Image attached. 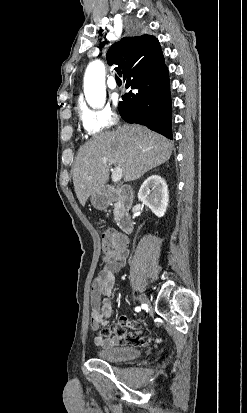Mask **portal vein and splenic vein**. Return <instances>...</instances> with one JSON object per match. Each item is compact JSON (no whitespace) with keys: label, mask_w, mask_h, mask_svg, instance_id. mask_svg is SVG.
Here are the masks:
<instances>
[{"label":"portal vein and splenic vein","mask_w":247,"mask_h":413,"mask_svg":"<svg viewBox=\"0 0 247 413\" xmlns=\"http://www.w3.org/2000/svg\"><path fill=\"white\" fill-rule=\"evenodd\" d=\"M101 162L103 164H106V162H110V164H114V160H111V158H102ZM122 178V168L121 166H115L112 170V180L113 182H119Z\"/></svg>","instance_id":"1"}]
</instances>
